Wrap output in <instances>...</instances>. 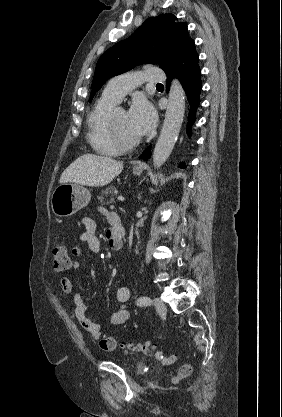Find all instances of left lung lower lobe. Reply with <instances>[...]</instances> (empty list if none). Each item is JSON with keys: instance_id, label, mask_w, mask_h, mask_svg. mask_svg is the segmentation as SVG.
Segmentation results:
<instances>
[{"instance_id": "obj_1", "label": "left lung lower lobe", "mask_w": 282, "mask_h": 417, "mask_svg": "<svg viewBox=\"0 0 282 417\" xmlns=\"http://www.w3.org/2000/svg\"><path fill=\"white\" fill-rule=\"evenodd\" d=\"M199 56L196 52L194 41L192 40L185 48L180 50L172 61L169 69L165 71L167 74V91L172 77L175 75L179 78L184 90L186 91L187 99L190 103V111L188 116V133H190V126L195 121V112L199 106V94L202 88L201 84V70L198 65ZM151 156V146H149L140 156L147 160ZM180 168H185L184 164Z\"/></svg>"}]
</instances>
